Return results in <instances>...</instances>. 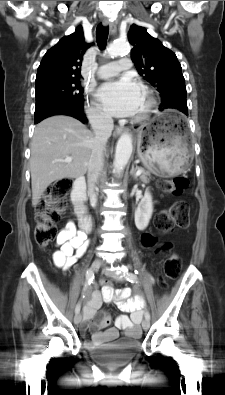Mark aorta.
Returning a JSON list of instances; mask_svg holds the SVG:
<instances>
[{"label":"aorta","instance_id":"obj_1","mask_svg":"<svg viewBox=\"0 0 225 395\" xmlns=\"http://www.w3.org/2000/svg\"><path fill=\"white\" fill-rule=\"evenodd\" d=\"M129 51L130 46L128 42L118 40L109 45L106 53L111 57H115L120 54L128 53ZM132 149V136L128 133L122 134L116 145L115 158L113 163L114 169L116 170L118 175H120L126 167L132 154Z\"/></svg>","mask_w":225,"mask_h":395}]
</instances>
